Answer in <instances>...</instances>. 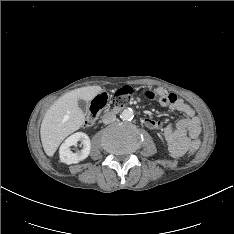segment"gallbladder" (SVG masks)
I'll use <instances>...</instances> for the list:
<instances>
[{"mask_svg":"<svg viewBox=\"0 0 234 234\" xmlns=\"http://www.w3.org/2000/svg\"><path fill=\"white\" fill-rule=\"evenodd\" d=\"M78 106L82 111H87V102L84 100H78Z\"/></svg>","mask_w":234,"mask_h":234,"instance_id":"obj_1","label":"gallbladder"}]
</instances>
